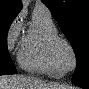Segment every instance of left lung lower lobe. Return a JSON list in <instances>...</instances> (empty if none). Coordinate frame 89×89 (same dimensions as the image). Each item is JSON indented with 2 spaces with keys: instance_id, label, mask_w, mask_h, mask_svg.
Masks as SVG:
<instances>
[{
  "instance_id": "0a47b994",
  "label": "left lung lower lobe",
  "mask_w": 89,
  "mask_h": 89,
  "mask_svg": "<svg viewBox=\"0 0 89 89\" xmlns=\"http://www.w3.org/2000/svg\"><path fill=\"white\" fill-rule=\"evenodd\" d=\"M75 85H77V86H79V87H82V88H84V89H89V82H78V83H76Z\"/></svg>"
}]
</instances>
